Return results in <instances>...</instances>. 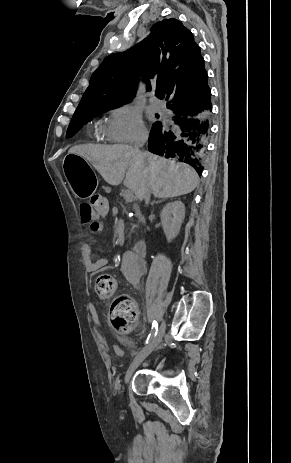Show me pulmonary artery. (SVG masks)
<instances>
[{
	"label": "pulmonary artery",
	"mask_w": 291,
	"mask_h": 463,
	"mask_svg": "<svg viewBox=\"0 0 291 463\" xmlns=\"http://www.w3.org/2000/svg\"><path fill=\"white\" fill-rule=\"evenodd\" d=\"M151 106L155 111H158V112L163 111L164 109V104L158 100L153 101Z\"/></svg>",
	"instance_id": "1"
}]
</instances>
